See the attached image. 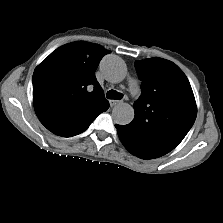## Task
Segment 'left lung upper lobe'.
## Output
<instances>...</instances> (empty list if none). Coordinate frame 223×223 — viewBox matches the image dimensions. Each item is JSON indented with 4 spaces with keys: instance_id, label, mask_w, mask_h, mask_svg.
I'll list each match as a JSON object with an SVG mask.
<instances>
[{
    "instance_id": "left-lung-upper-lobe-1",
    "label": "left lung upper lobe",
    "mask_w": 223,
    "mask_h": 223,
    "mask_svg": "<svg viewBox=\"0 0 223 223\" xmlns=\"http://www.w3.org/2000/svg\"><path fill=\"white\" fill-rule=\"evenodd\" d=\"M142 94L133 107L134 120L125 125L131 141L168 153L191 129L197 116L190 83L173 62L150 58L135 62Z\"/></svg>"
}]
</instances>
